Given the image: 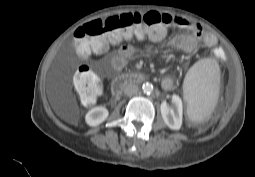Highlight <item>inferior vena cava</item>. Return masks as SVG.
Segmentation results:
<instances>
[{
    "label": "inferior vena cava",
    "mask_w": 255,
    "mask_h": 177,
    "mask_svg": "<svg viewBox=\"0 0 255 177\" xmlns=\"http://www.w3.org/2000/svg\"><path fill=\"white\" fill-rule=\"evenodd\" d=\"M139 91V88L137 85L135 84H128L125 88H124V93L128 96H132L137 94Z\"/></svg>",
    "instance_id": "1"
}]
</instances>
